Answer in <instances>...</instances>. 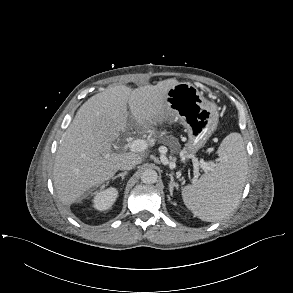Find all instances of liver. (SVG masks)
Returning <instances> with one entry per match:
<instances>
[{
  "mask_svg": "<svg viewBox=\"0 0 293 293\" xmlns=\"http://www.w3.org/2000/svg\"><path fill=\"white\" fill-rule=\"evenodd\" d=\"M167 79L156 85L131 90L114 86L89 98L63 133L53 167V183L59 200L66 206L78 202L89 189L111 179L125 158L140 164L142 152L113 153L112 142L127 129L128 112L146 133L162 123L168 90L178 84Z\"/></svg>",
  "mask_w": 293,
  "mask_h": 293,
  "instance_id": "6515ba94",
  "label": "liver"
}]
</instances>
